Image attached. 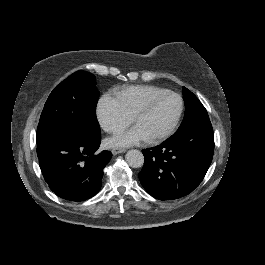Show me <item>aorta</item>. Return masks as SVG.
Masks as SVG:
<instances>
[{
	"label": "aorta",
	"instance_id": "obj_1",
	"mask_svg": "<svg viewBox=\"0 0 265 265\" xmlns=\"http://www.w3.org/2000/svg\"><path fill=\"white\" fill-rule=\"evenodd\" d=\"M126 162L132 168H140L144 164L143 154L136 149L129 150L125 156Z\"/></svg>",
	"mask_w": 265,
	"mask_h": 265
}]
</instances>
